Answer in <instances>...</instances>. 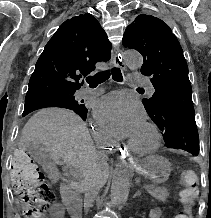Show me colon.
Instances as JSON below:
<instances>
[{
  "label": "colon",
  "instance_id": "colon-1",
  "mask_svg": "<svg viewBox=\"0 0 211 218\" xmlns=\"http://www.w3.org/2000/svg\"><path fill=\"white\" fill-rule=\"evenodd\" d=\"M12 183L18 202L27 218H41L47 211L51 192L45 183L44 175L35 160L25 151L14 154ZM181 201L184 210L174 218H193L192 206L198 195V176L194 170L182 171Z\"/></svg>",
  "mask_w": 211,
  "mask_h": 218
}]
</instances>
